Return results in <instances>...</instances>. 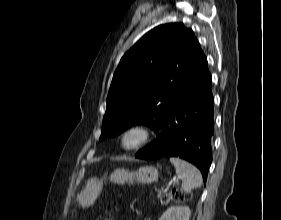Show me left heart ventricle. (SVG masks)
<instances>
[{
	"label": "left heart ventricle",
	"mask_w": 281,
	"mask_h": 220,
	"mask_svg": "<svg viewBox=\"0 0 281 220\" xmlns=\"http://www.w3.org/2000/svg\"><path fill=\"white\" fill-rule=\"evenodd\" d=\"M134 140V137L129 138V142H132Z\"/></svg>",
	"instance_id": "obj_1"
}]
</instances>
